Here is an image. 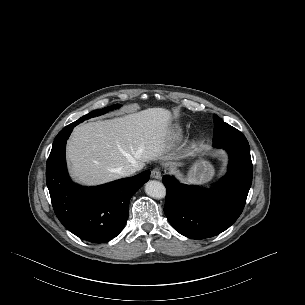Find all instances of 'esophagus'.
Segmentation results:
<instances>
[{
    "label": "esophagus",
    "instance_id": "34e87169",
    "mask_svg": "<svg viewBox=\"0 0 305 305\" xmlns=\"http://www.w3.org/2000/svg\"><path fill=\"white\" fill-rule=\"evenodd\" d=\"M162 176L161 174V170L159 168H154L152 171H151V177L154 178V179H160Z\"/></svg>",
    "mask_w": 305,
    "mask_h": 305
}]
</instances>
